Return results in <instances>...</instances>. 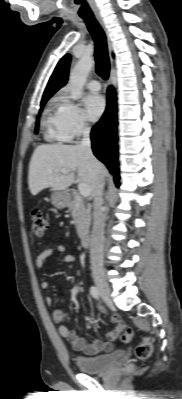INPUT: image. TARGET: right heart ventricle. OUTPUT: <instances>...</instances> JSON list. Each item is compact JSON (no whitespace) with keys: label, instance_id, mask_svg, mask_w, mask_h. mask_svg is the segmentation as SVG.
I'll use <instances>...</instances> for the list:
<instances>
[{"label":"right heart ventricle","instance_id":"e07e8e85","mask_svg":"<svg viewBox=\"0 0 182 399\" xmlns=\"http://www.w3.org/2000/svg\"><path fill=\"white\" fill-rule=\"evenodd\" d=\"M45 138L49 141L68 140L61 119V104H55L45 110L43 118Z\"/></svg>","mask_w":182,"mask_h":399}]
</instances>
